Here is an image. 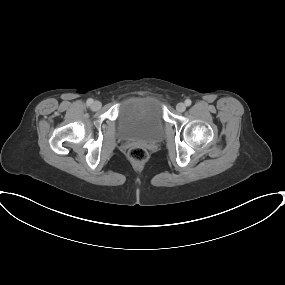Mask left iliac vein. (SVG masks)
<instances>
[{"label":"left iliac vein","instance_id":"4c4485c4","mask_svg":"<svg viewBox=\"0 0 285 285\" xmlns=\"http://www.w3.org/2000/svg\"><path fill=\"white\" fill-rule=\"evenodd\" d=\"M178 112H184L186 109V105L182 102L178 103L176 106Z\"/></svg>","mask_w":285,"mask_h":285}]
</instances>
